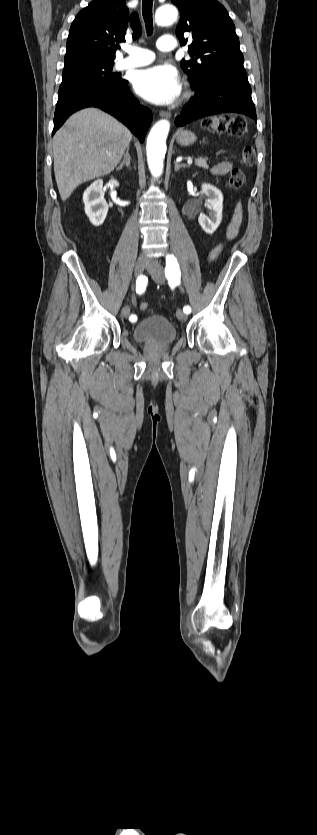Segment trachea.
<instances>
[{
    "label": "trachea",
    "instance_id": "1",
    "mask_svg": "<svg viewBox=\"0 0 317 835\" xmlns=\"http://www.w3.org/2000/svg\"><path fill=\"white\" fill-rule=\"evenodd\" d=\"M152 5L153 0H142V13L148 35L153 32Z\"/></svg>",
    "mask_w": 317,
    "mask_h": 835
}]
</instances>
